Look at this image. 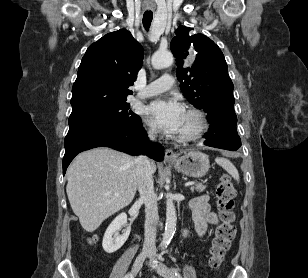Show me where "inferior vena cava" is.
Instances as JSON below:
<instances>
[{
  "label": "inferior vena cava",
  "instance_id": "obj_1",
  "mask_svg": "<svg viewBox=\"0 0 308 278\" xmlns=\"http://www.w3.org/2000/svg\"><path fill=\"white\" fill-rule=\"evenodd\" d=\"M149 139L155 140V132L151 130ZM137 162V188L140 193V200L145 205V240L143 253L155 254L156 224L158 221L157 196L154 192L151 162L147 156H139Z\"/></svg>",
  "mask_w": 308,
  "mask_h": 278
}]
</instances>
